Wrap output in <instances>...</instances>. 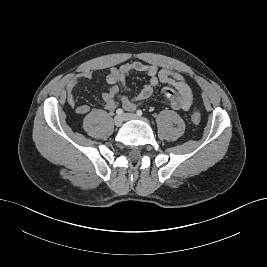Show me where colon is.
<instances>
[{"label":"colon","mask_w":267,"mask_h":267,"mask_svg":"<svg viewBox=\"0 0 267 267\" xmlns=\"http://www.w3.org/2000/svg\"><path fill=\"white\" fill-rule=\"evenodd\" d=\"M191 120L194 125H198L201 121V116L197 111H194L191 115Z\"/></svg>","instance_id":"colon-1"}]
</instances>
